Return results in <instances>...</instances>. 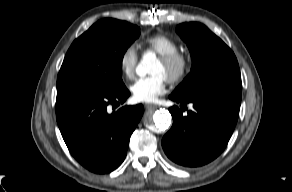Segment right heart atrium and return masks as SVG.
<instances>
[{
    "mask_svg": "<svg viewBox=\"0 0 292 192\" xmlns=\"http://www.w3.org/2000/svg\"><path fill=\"white\" fill-rule=\"evenodd\" d=\"M138 61L137 50L134 45H128L124 48L119 56V68L122 74L131 79L134 77L135 69Z\"/></svg>",
    "mask_w": 292,
    "mask_h": 192,
    "instance_id": "d8ad5b80",
    "label": "right heart atrium"
}]
</instances>
